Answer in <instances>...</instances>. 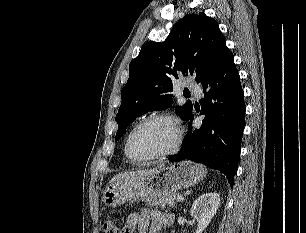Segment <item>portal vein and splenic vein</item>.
<instances>
[{
  "label": "portal vein and splenic vein",
  "mask_w": 306,
  "mask_h": 233,
  "mask_svg": "<svg viewBox=\"0 0 306 233\" xmlns=\"http://www.w3.org/2000/svg\"><path fill=\"white\" fill-rule=\"evenodd\" d=\"M184 200V197L183 196H179L178 198H177V201H183Z\"/></svg>",
  "instance_id": "obj_1"
}]
</instances>
